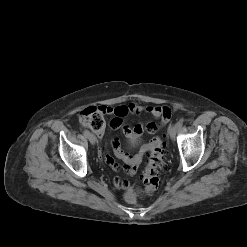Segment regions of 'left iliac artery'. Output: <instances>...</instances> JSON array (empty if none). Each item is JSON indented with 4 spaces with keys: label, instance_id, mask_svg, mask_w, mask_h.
<instances>
[{
    "label": "left iliac artery",
    "instance_id": "left-iliac-artery-1",
    "mask_svg": "<svg viewBox=\"0 0 247 247\" xmlns=\"http://www.w3.org/2000/svg\"><path fill=\"white\" fill-rule=\"evenodd\" d=\"M182 125H183V122H182V121L177 122V126H178V128H181V127H182Z\"/></svg>",
    "mask_w": 247,
    "mask_h": 247
}]
</instances>
